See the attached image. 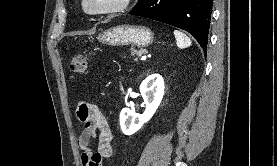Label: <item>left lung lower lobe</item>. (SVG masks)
<instances>
[{
  "mask_svg": "<svg viewBox=\"0 0 277 166\" xmlns=\"http://www.w3.org/2000/svg\"><path fill=\"white\" fill-rule=\"evenodd\" d=\"M213 0H146L131 15L163 22L192 34L206 52Z\"/></svg>",
  "mask_w": 277,
  "mask_h": 166,
  "instance_id": "1",
  "label": "left lung lower lobe"
}]
</instances>
